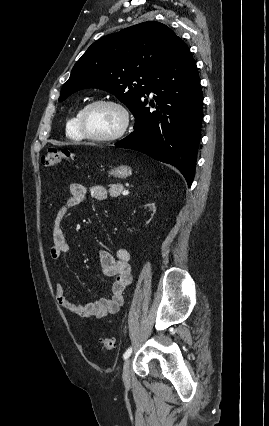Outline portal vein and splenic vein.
Segmentation results:
<instances>
[{
    "mask_svg": "<svg viewBox=\"0 0 269 426\" xmlns=\"http://www.w3.org/2000/svg\"><path fill=\"white\" fill-rule=\"evenodd\" d=\"M122 194H123V195H128V194H129V191L124 190V191L122 192Z\"/></svg>",
    "mask_w": 269,
    "mask_h": 426,
    "instance_id": "obj_1",
    "label": "portal vein and splenic vein"
}]
</instances>
